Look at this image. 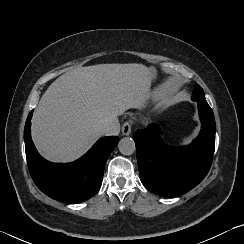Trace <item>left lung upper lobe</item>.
Returning a JSON list of instances; mask_svg holds the SVG:
<instances>
[{
  "label": "left lung upper lobe",
  "instance_id": "1",
  "mask_svg": "<svg viewBox=\"0 0 244 244\" xmlns=\"http://www.w3.org/2000/svg\"><path fill=\"white\" fill-rule=\"evenodd\" d=\"M192 98L195 101H201V100H203L204 101V105L209 106L208 103H207V101H206V99H205L204 91H203V89L199 85L196 86ZM212 117H213V114H212Z\"/></svg>",
  "mask_w": 244,
  "mask_h": 244
}]
</instances>
